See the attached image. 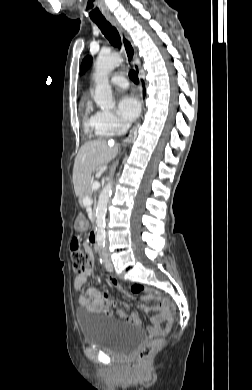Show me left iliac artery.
I'll return each instance as SVG.
<instances>
[{"mask_svg":"<svg viewBox=\"0 0 252 390\" xmlns=\"http://www.w3.org/2000/svg\"><path fill=\"white\" fill-rule=\"evenodd\" d=\"M100 247H104V244H100ZM100 262L102 263V258H100Z\"/></svg>","mask_w":252,"mask_h":390,"instance_id":"obj_1","label":"left iliac artery"}]
</instances>
